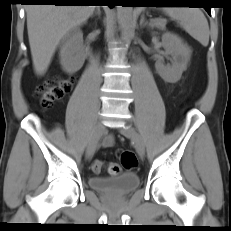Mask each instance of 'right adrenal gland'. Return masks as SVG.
Returning <instances> with one entry per match:
<instances>
[{"label": "right adrenal gland", "mask_w": 231, "mask_h": 231, "mask_svg": "<svg viewBox=\"0 0 231 231\" xmlns=\"http://www.w3.org/2000/svg\"><path fill=\"white\" fill-rule=\"evenodd\" d=\"M94 15H98V16L100 17L101 11H100V7H99V6L96 7V10H95L94 13L92 14V16H94Z\"/></svg>", "instance_id": "right-adrenal-gland-1"}]
</instances>
